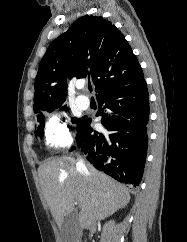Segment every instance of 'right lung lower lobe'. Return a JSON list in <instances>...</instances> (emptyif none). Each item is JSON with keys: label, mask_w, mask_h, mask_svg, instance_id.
<instances>
[{"label": "right lung lower lobe", "mask_w": 187, "mask_h": 242, "mask_svg": "<svg viewBox=\"0 0 187 242\" xmlns=\"http://www.w3.org/2000/svg\"><path fill=\"white\" fill-rule=\"evenodd\" d=\"M97 101V116H102L101 123L108 132L93 131L91 119L83 117L77 128L78 148L98 170L137 186L148 148L149 98L144 76L101 93Z\"/></svg>", "instance_id": "right-lung-lower-lobe-1"}]
</instances>
